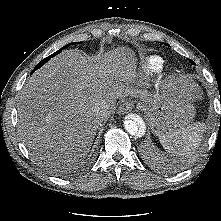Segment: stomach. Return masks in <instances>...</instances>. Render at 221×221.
<instances>
[{
  "instance_id": "stomach-1",
  "label": "stomach",
  "mask_w": 221,
  "mask_h": 221,
  "mask_svg": "<svg viewBox=\"0 0 221 221\" xmlns=\"http://www.w3.org/2000/svg\"><path fill=\"white\" fill-rule=\"evenodd\" d=\"M179 88L163 96L149 112L151 128L159 137L185 127L193 118L195 108L190 97Z\"/></svg>"
}]
</instances>
